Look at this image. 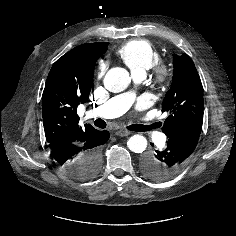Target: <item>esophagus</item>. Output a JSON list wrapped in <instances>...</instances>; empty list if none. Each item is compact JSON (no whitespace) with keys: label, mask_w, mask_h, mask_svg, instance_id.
Masks as SVG:
<instances>
[{"label":"esophagus","mask_w":236,"mask_h":236,"mask_svg":"<svg viewBox=\"0 0 236 236\" xmlns=\"http://www.w3.org/2000/svg\"><path fill=\"white\" fill-rule=\"evenodd\" d=\"M130 134H131L130 131L122 130V129L116 132V135L121 136V137L129 136Z\"/></svg>","instance_id":"34e87169"}]
</instances>
